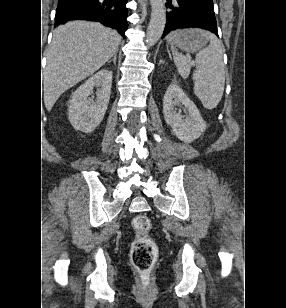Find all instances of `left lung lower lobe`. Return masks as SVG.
Masks as SVG:
<instances>
[{
    "instance_id": "1",
    "label": "left lung lower lobe",
    "mask_w": 286,
    "mask_h": 308,
    "mask_svg": "<svg viewBox=\"0 0 286 308\" xmlns=\"http://www.w3.org/2000/svg\"><path fill=\"white\" fill-rule=\"evenodd\" d=\"M167 1L169 10L167 11V23L162 37L170 31L180 28H202L210 30L218 36L212 0Z\"/></svg>"
}]
</instances>
